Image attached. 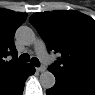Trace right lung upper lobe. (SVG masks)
Returning <instances> with one entry per match:
<instances>
[{
	"instance_id": "obj_1",
	"label": "right lung upper lobe",
	"mask_w": 95,
	"mask_h": 95,
	"mask_svg": "<svg viewBox=\"0 0 95 95\" xmlns=\"http://www.w3.org/2000/svg\"><path fill=\"white\" fill-rule=\"evenodd\" d=\"M26 13L0 9V95L11 91L24 77L30 64L19 62L13 42L16 29L25 22ZM13 55L8 62L5 58Z\"/></svg>"
}]
</instances>
